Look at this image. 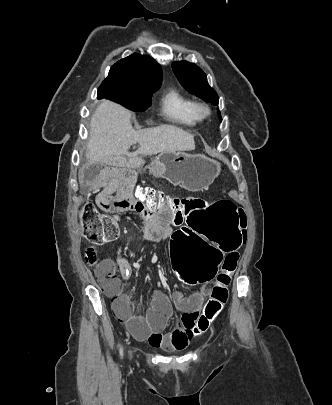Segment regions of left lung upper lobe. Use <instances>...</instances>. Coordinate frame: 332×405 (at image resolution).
Returning a JSON list of instances; mask_svg holds the SVG:
<instances>
[{"instance_id": "left-lung-upper-lobe-1", "label": "left lung upper lobe", "mask_w": 332, "mask_h": 405, "mask_svg": "<svg viewBox=\"0 0 332 405\" xmlns=\"http://www.w3.org/2000/svg\"><path fill=\"white\" fill-rule=\"evenodd\" d=\"M172 69L181 85L191 94L198 96L206 102L218 105V95L207 82L205 73L197 65L180 61L172 64ZM218 113L220 114L219 110ZM220 120L221 117H220Z\"/></svg>"}]
</instances>
